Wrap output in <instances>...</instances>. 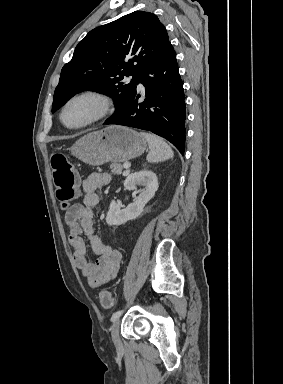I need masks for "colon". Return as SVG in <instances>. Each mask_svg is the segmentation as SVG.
<instances>
[{
    "mask_svg": "<svg viewBox=\"0 0 283 384\" xmlns=\"http://www.w3.org/2000/svg\"><path fill=\"white\" fill-rule=\"evenodd\" d=\"M51 168L56 187V196L63 206H68L77 192V176L73 166L61 153H56L51 158ZM99 301L103 308H111L112 295L108 291L99 293Z\"/></svg>",
    "mask_w": 283,
    "mask_h": 384,
    "instance_id": "5ec220e1",
    "label": "colon"
}]
</instances>
